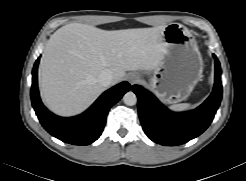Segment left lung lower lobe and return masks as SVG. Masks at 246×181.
Instances as JSON below:
<instances>
[{
	"label": "left lung lower lobe",
	"mask_w": 246,
	"mask_h": 181,
	"mask_svg": "<svg viewBox=\"0 0 246 181\" xmlns=\"http://www.w3.org/2000/svg\"><path fill=\"white\" fill-rule=\"evenodd\" d=\"M215 58V83L211 95L198 108L176 113L163 106L149 91L132 86L138 97V113L146 135L164 146L184 144L202 134L211 124L222 98L221 68Z\"/></svg>",
	"instance_id": "obj_1"
}]
</instances>
